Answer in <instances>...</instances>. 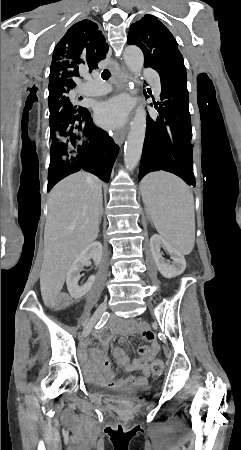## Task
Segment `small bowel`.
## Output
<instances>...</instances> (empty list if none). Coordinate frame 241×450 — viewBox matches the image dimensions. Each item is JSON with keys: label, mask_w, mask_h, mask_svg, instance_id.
<instances>
[{"label": "small bowel", "mask_w": 241, "mask_h": 450, "mask_svg": "<svg viewBox=\"0 0 241 450\" xmlns=\"http://www.w3.org/2000/svg\"><path fill=\"white\" fill-rule=\"evenodd\" d=\"M58 307H65L67 304L58 302ZM131 333L140 335L148 342V345L138 347L137 358L131 360L122 347H115L112 351L114 360L123 369L130 372L139 370L140 375H129L127 377H117L111 368L108 357L110 342L114 336L125 338ZM95 338L101 343V348H94L91 356L83 358L84 370H88L89 379L92 383L107 388H123L129 386H145L151 376L150 363L156 358L160 351V344L154 332L144 323L136 320L126 319L100 328L94 332ZM90 341L83 342V347H87Z\"/></svg>", "instance_id": "small-bowel-1"}]
</instances>
